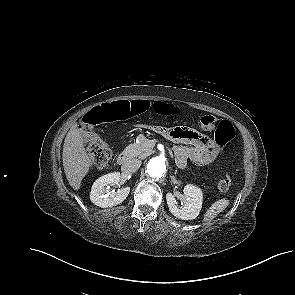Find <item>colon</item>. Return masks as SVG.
<instances>
[{
    "instance_id": "5ec220e1",
    "label": "colon",
    "mask_w": 295,
    "mask_h": 295,
    "mask_svg": "<svg viewBox=\"0 0 295 295\" xmlns=\"http://www.w3.org/2000/svg\"><path fill=\"white\" fill-rule=\"evenodd\" d=\"M149 106V102L145 100L116 101L96 107L83 116L80 131L89 137V157L96 169L101 170L106 167L111 158V150L98 137L93 135V128L99 124L127 120L145 112ZM153 108L160 115H172L177 112L173 105L164 102L154 103ZM199 124L203 130L214 133L215 137L211 140L213 143L212 152L216 158H222L223 149L227 146L226 143L235 137L234 126L229 121H218L212 115L202 116L199 119ZM218 143L221 144L220 146L223 149H218ZM230 186L231 179L226 176L217 184V189L220 192H226Z\"/></svg>"
}]
</instances>
